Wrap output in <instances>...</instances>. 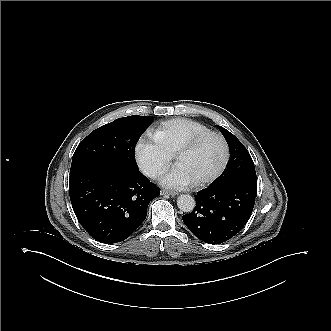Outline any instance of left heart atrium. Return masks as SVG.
<instances>
[{
	"label": "left heart atrium",
	"instance_id": "39dd6f15",
	"mask_svg": "<svg viewBox=\"0 0 331 331\" xmlns=\"http://www.w3.org/2000/svg\"><path fill=\"white\" fill-rule=\"evenodd\" d=\"M160 183L171 189H187L193 185L194 180L183 168L178 166L165 173L161 177Z\"/></svg>",
	"mask_w": 331,
	"mask_h": 331
}]
</instances>
